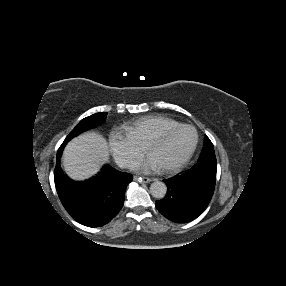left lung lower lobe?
<instances>
[{
    "mask_svg": "<svg viewBox=\"0 0 286 286\" xmlns=\"http://www.w3.org/2000/svg\"><path fill=\"white\" fill-rule=\"evenodd\" d=\"M216 157L199 160L185 173L164 182L166 196L155 202L156 208L168 219L184 223L199 217L208 206L216 183Z\"/></svg>",
    "mask_w": 286,
    "mask_h": 286,
    "instance_id": "obj_1",
    "label": "left lung lower lobe"
}]
</instances>
